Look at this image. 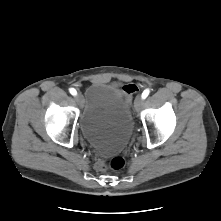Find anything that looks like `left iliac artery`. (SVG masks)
I'll list each match as a JSON object with an SVG mask.
<instances>
[{
  "label": "left iliac artery",
  "mask_w": 221,
  "mask_h": 221,
  "mask_svg": "<svg viewBox=\"0 0 221 221\" xmlns=\"http://www.w3.org/2000/svg\"><path fill=\"white\" fill-rule=\"evenodd\" d=\"M149 92L150 91L148 89L144 90L142 93V98L145 99L149 95Z\"/></svg>",
  "instance_id": "left-iliac-artery-1"
}]
</instances>
